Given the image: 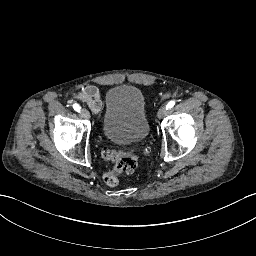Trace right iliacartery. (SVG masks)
Segmentation results:
<instances>
[{"mask_svg": "<svg viewBox=\"0 0 256 256\" xmlns=\"http://www.w3.org/2000/svg\"><path fill=\"white\" fill-rule=\"evenodd\" d=\"M73 108L75 111L80 112L81 107L77 103L73 105Z\"/></svg>", "mask_w": 256, "mask_h": 256, "instance_id": "1", "label": "right iliac artery"}]
</instances>
